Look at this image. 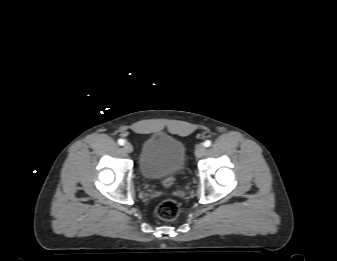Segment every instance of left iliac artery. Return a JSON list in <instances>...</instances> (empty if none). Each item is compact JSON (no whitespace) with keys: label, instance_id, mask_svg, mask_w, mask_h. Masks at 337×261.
Listing matches in <instances>:
<instances>
[{"label":"left iliac artery","instance_id":"44dca946","mask_svg":"<svg viewBox=\"0 0 337 261\" xmlns=\"http://www.w3.org/2000/svg\"><path fill=\"white\" fill-rule=\"evenodd\" d=\"M204 146H205V147L211 146V141H210V140H206V141L204 142Z\"/></svg>","mask_w":337,"mask_h":261}]
</instances>
